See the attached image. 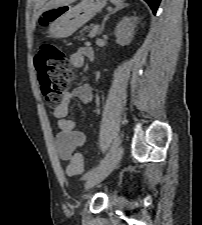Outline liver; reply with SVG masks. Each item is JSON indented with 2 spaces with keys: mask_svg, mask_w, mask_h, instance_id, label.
Here are the masks:
<instances>
[{
  "mask_svg": "<svg viewBox=\"0 0 202 225\" xmlns=\"http://www.w3.org/2000/svg\"><path fill=\"white\" fill-rule=\"evenodd\" d=\"M75 1L76 0H50L40 9L38 15L42 14L46 10L53 9L63 5H69Z\"/></svg>",
  "mask_w": 202,
  "mask_h": 225,
  "instance_id": "obj_1",
  "label": "liver"
}]
</instances>
